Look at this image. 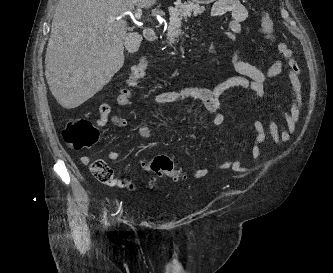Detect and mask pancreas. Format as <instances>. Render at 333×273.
Listing matches in <instances>:
<instances>
[{"instance_id":"pancreas-1","label":"pancreas","mask_w":333,"mask_h":273,"mask_svg":"<svg viewBox=\"0 0 333 273\" xmlns=\"http://www.w3.org/2000/svg\"><path fill=\"white\" fill-rule=\"evenodd\" d=\"M204 7L194 4L192 2L178 3L175 7L170 9V23L167 31V40L169 44H173L176 39L182 34L180 29L181 20L187 17L197 16L203 13Z\"/></svg>"}]
</instances>
